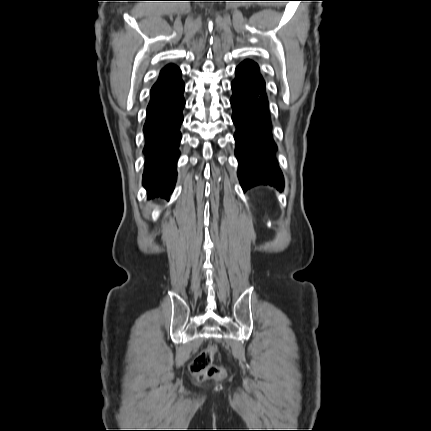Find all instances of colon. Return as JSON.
<instances>
[{"instance_id":"obj_1","label":"colon","mask_w":431,"mask_h":431,"mask_svg":"<svg viewBox=\"0 0 431 431\" xmlns=\"http://www.w3.org/2000/svg\"><path fill=\"white\" fill-rule=\"evenodd\" d=\"M217 351L215 345H209L201 351L191 364L190 370L199 381L206 379L221 380L226 376V372L222 367L212 364L214 354Z\"/></svg>"}]
</instances>
